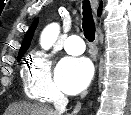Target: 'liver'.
<instances>
[{"label": "liver", "instance_id": "6515ba94", "mask_svg": "<svg viewBox=\"0 0 131 115\" xmlns=\"http://www.w3.org/2000/svg\"><path fill=\"white\" fill-rule=\"evenodd\" d=\"M5 115H57L56 112L44 105L20 103L9 106Z\"/></svg>", "mask_w": 131, "mask_h": 115}]
</instances>
